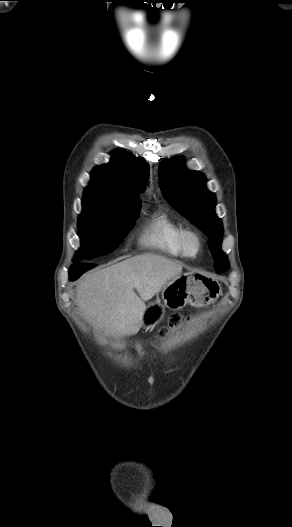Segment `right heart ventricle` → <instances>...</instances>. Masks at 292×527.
<instances>
[{"mask_svg":"<svg viewBox=\"0 0 292 527\" xmlns=\"http://www.w3.org/2000/svg\"><path fill=\"white\" fill-rule=\"evenodd\" d=\"M184 226L164 211L153 212L145 221L139 243L144 248L170 257H185L180 246Z\"/></svg>","mask_w":292,"mask_h":527,"instance_id":"1","label":"right heart ventricle"}]
</instances>
